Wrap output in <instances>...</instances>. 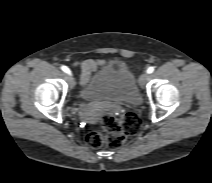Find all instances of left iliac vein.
Here are the masks:
<instances>
[{
  "label": "left iliac vein",
  "instance_id": "obj_1",
  "mask_svg": "<svg viewBox=\"0 0 212 183\" xmlns=\"http://www.w3.org/2000/svg\"><path fill=\"white\" fill-rule=\"evenodd\" d=\"M148 79V73H142L139 77V84L140 86H144Z\"/></svg>",
  "mask_w": 212,
  "mask_h": 183
}]
</instances>
